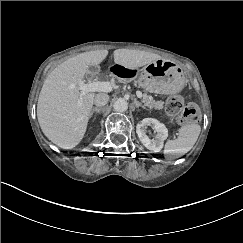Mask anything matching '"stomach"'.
I'll list each match as a JSON object with an SVG mask.
<instances>
[{"mask_svg":"<svg viewBox=\"0 0 243 243\" xmlns=\"http://www.w3.org/2000/svg\"><path fill=\"white\" fill-rule=\"evenodd\" d=\"M139 84L149 92L174 94L183 89L185 76L173 62L159 59L141 70Z\"/></svg>","mask_w":243,"mask_h":243,"instance_id":"1","label":"stomach"}]
</instances>
